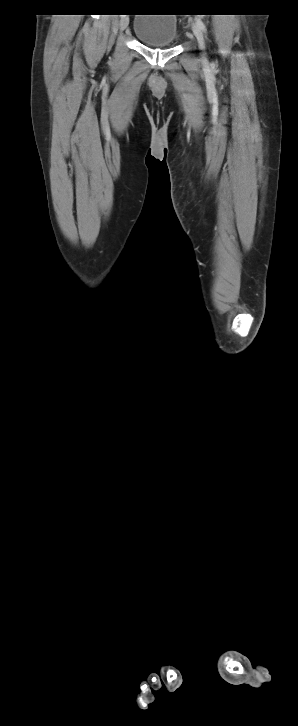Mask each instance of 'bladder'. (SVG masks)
<instances>
[{"label":"bladder","mask_w":298,"mask_h":726,"mask_svg":"<svg viewBox=\"0 0 298 726\" xmlns=\"http://www.w3.org/2000/svg\"><path fill=\"white\" fill-rule=\"evenodd\" d=\"M133 34L147 46L171 47L178 38L177 20L167 13L137 14Z\"/></svg>","instance_id":"bladder-1"}]
</instances>
